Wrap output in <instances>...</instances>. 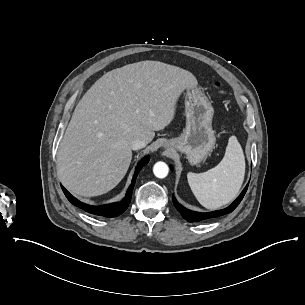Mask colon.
Returning a JSON list of instances; mask_svg holds the SVG:
<instances>
[{"mask_svg": "<svg viewBox=\"0 0 305 305\" xmlns=\"http://www.w3.org/2000/svg\"><path fill=\"white\" fill-rule=\"evenodd\" d=\"M213 86L218 93L223 95L227 94V88L220 80H215Z\"/></svg>", "mask_w": 305, "mask_h": 305, "instance_id": "obj_1", "label": "colon"}]
</instances>
